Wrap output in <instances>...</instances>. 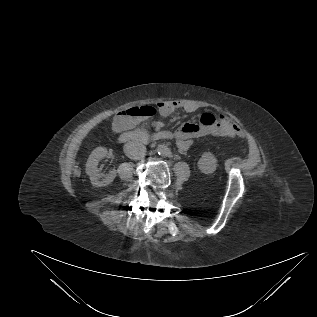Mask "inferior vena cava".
<instances>
[{
	"mask_svg": "<svg viewBox=\"0 0 317 317\" xmlns=\"http://www.w3.org/2000/svg\"><path fill=\"white\" fill-rule=\"evenodd\" d=\"M123 149L125 155L130 159L139 160L146 155V147L137 141L127 142Z\"/></svg>",
	"mask_w": 317,
	"mask_h": 317,
	"instance_id": "inferior-vena-cava-1",
	"label": "inferior vena cava"
}]
</instances>
